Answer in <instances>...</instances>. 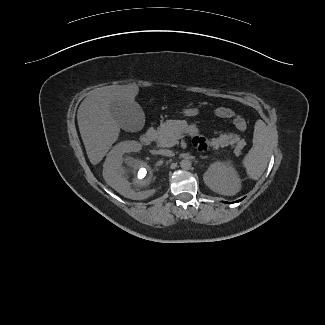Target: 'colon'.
<instances>
[{
    "mask_svg": "<svg viewBox=\"0 0 325 325\" xmlns=\"http://www.w3.org/2000/svg\"><path fill=\"white\" fill-rule=\"evenodd\" d=\"M213 113L219 118L231 119L236 128L240 131H245L247 129V122L245 121V119L232 109L218 107L214 109Z\"/></svg>",
    "mask_w": 325,
    "mask_h": 325,
    "instance_id": "obj_1",
    "label": "colon"
}]
</instances>
